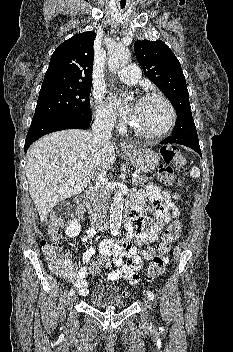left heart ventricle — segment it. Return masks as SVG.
<instances>
[{
    "instance_id": "left-heart-ventricle-1",
    "label": "left heart ventricle",
    "mask_w": 233,
    "mask_h": 352,
    "mask_svg": "<svg viewBox=\"0 0 233 352\" xmlns=\"http://www.w3.org/2000/svg\"><path fill=\"white\" fill-rule=\"evenodd\" d=\"M132 124L144 132H158L168 123L170 113L159 99L138 100L132 104Z\"/></svg>"
}]
</instances>
